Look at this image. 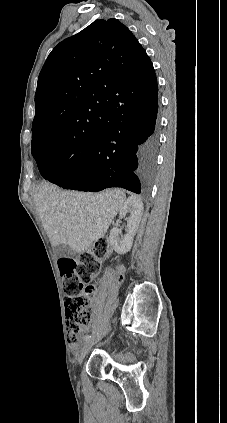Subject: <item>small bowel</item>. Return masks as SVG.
Wrapping results in <instances>:
<instances>
[{"instance_id": "c3829d8e", "label": "small bowel", "mask_w": 227, "mask_h": 423, "mask_svg": "<svg viewBox=\"0 0 227 423\" xmlns=\"http://www.w3.org/2000/svg\"><path fill=\"white\" fill-rule=\"evenodd\" d=\"M77 344H78V342H77V341H76V342H74V343H73V347H74V348H76Z\"/></svg>"}]
</instances>
